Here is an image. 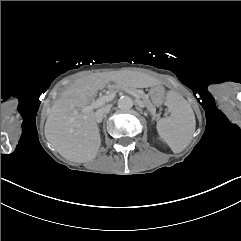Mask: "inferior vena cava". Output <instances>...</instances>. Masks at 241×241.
I'll return each instance as SVG.
<instances>
[{
    "mask_svg": "<svg viewBox=\"0 0 241 241\" xmlns=\"http://www.w3.org/2000/svg\"><path fill=\"white\" fill-rule=\"evenodd\" d=\"M111 107H112V105L108 104V105H105L102 108L98 109L95 112V120L97 123H100L103 120L104 114L108 113L110 111Z\"/></svg>",
    "mask_w": 241,
    "mask_h": 241,
    "instance_id": "inferior-vena-cava-1",
    "label": "inferior vena cava"
}]
</instances>
